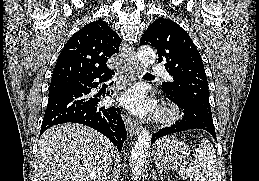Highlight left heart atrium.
<instances>
[{
  "label": "left heart atrium",
  "mask_w": 259,
  "mask_h": 181,
  "mask_svg": "<svg viewBox=\"0 0 259 181\" xmlns=\"http://www.w3.org/2000/svg\"><path fill=\"white\" fill-rule=\"evenodd\" d=\"M120 103L135 114H145L152 109V103L148 100L140 88L134 87L119 98Z\"/></svg>",
  "instance_id": "obj_1"
}]
</instances>
